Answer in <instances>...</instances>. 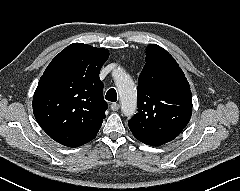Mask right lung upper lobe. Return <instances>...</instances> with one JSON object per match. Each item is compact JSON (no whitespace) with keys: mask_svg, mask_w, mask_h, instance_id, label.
Wrapping results in <instances>:
<instances>
[{"mask_svg":"<svg viewBox=\"0 0 240 191\" xmlns=\"http://www.w3.org/2000/svg\"><path fill=\"white\" fill-rule=\"evenodd\" d=\"M109 51L73 43L44 71L33 97V112L56 142L79 147L94 139L105 118L107 103L99 71Z\"/></svg>","mask_w":240,"mask_h":191,"instance_id":"right-lung-upper-lobe-1","label":"right lung upper lobe"}]
</instances>
